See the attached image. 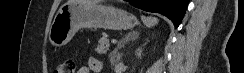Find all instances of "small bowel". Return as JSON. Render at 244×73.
I'll return each instance as SVG.
<instances>
[{"instance_id":"1","label":"small bowel","mask_w":244,"mask_h":73,"mask_svg":"<svg viewBox=\"0 0 244 73\" xmlns=\"http://www.w3.org/2000/svg\"><path fill=\"white\" fill-rule=\"evenodd\" d=\"M103 63L97 58H90L86 66H82L77 73H101Z\"/></svg>"}]
</instances>
